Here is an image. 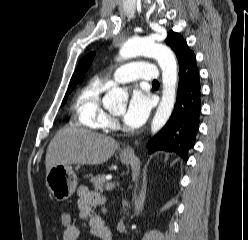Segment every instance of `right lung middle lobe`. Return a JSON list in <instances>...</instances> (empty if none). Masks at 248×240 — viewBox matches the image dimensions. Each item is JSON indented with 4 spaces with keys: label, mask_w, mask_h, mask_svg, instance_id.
<instances>
[{
    "label": "right lung middle lobe",
    "mask_w": 248,
    "mask_h": 240,
    "mask_svg": "<svg viewBox=\"0 0 248 240\" xmlns=\"http://www.w3.org/2000/svg\"><path fill=\"white\" fill-rule=\"evenodd\" d=\"M77 83L78 82H76V81L70 82V84L68 86V90H67L66 95L64 97L63 103L65 102V100L67 99L69 93H71V91L74 89V87L76 86Z\"/></svg>",
    "instance_id": "right-lung-middle-lobe-1"
}]
</instances>
